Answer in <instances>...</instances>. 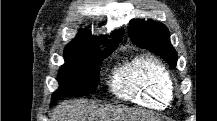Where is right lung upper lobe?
<instances>
[{
    "mask_svg": "<svg viewBox=\"0 0 217 121\" xmlns=\"http://www.w3.org/2000/svg\"><path fill=\"white\" fill-rule=\"evenodd\" d=\"M111 37H112L111 40L105 41V46L107 49L104 52H109V51L116 49V47L118 46V43L121 41L123 37V31L119 30V31L113 32L111 34ZM102 42L103 40L100 37H94L91 35L90 32L82 31L77 34L76 38L72 42H70L67 45V47H79V46H84L88 44L98 46Z\"/></svg>",
    "mask_w": 217,
    "mask_h": 121,
    "instance_id": "1",
    "label": "right lung upper lobe"
}]
</instances>
